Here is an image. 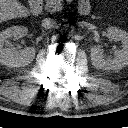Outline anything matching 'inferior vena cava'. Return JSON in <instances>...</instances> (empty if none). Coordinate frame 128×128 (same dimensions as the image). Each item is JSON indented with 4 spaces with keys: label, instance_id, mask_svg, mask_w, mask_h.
<instances>
[{
    "label": "inferior vena cava",
    "instance_id": "obj_1",
    "mask_svg": "<svg viewBox=\"0 0 128 128\" xmlns=\"http://www.w3.org/2000/svg\"><path fill=\"white\" fill-rule=\"evenodd\" d=\"M53 24H54V20L53 19H50V18H45L42 21V26L45 27V28H49Z\"/></svg>",
    "mask_w": 128,
    "mask_h": 128
}]
</instances>
